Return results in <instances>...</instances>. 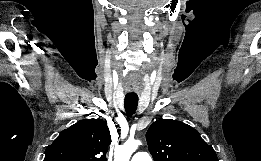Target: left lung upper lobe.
<instances>
[{"mask_svg": "<svg viewBox=\"0 0 261 161\" xmlns=\"http://www.w3.org/2000/svg\"><path fill=\"white\" fill-rule=\"evenodd\" d=\"M154 161H218L197 130L172 119L155 121L146 133Z\"/></svg>", "mask_w": 261, "mask_h": 161, "instance_id": "left-lung-upper-lobe-1", "label": "left lung upper lobe"}]
</instances>
